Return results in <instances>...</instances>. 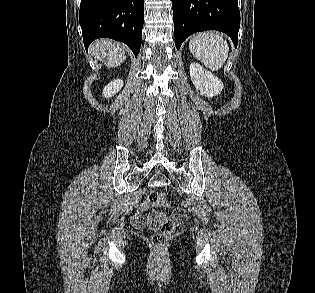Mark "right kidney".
<instances>
[{"mask_svg": "<svg viewBox=\"0 0 315 293\" xmlns=\"http://www.w3.org/2000/svg\"><path fill=\"white\" fill-rule=\"evenodd\" d=\"M123 80L116 79L111 81L106 87L103 89V96L105 98L114 96L122 87H123Z\"/></svg>", "mask_w": 315, "mask_h": 293, "instance_id": "right-kidney-1", "label": "right kidney"}]
</instances>
